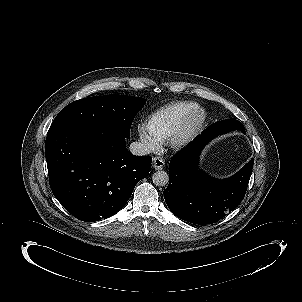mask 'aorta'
<instances>
[{
    "mask_svg": "<svg viewBox=\"0 0 302 302\" xmlns=\"http://www.w3.org/2000/svg\"><path fill=\"white\" fill-rule=\"evenodd\" d=\"M152 181L156 186H165L169 183V175L165 171H156L152 176Z\"/></svg>",
    "mask_w": 302,
    "mask_h": 302,
    "instance_id": "aorta-1",
    "label": "aorta"
}]
</instances>
